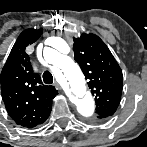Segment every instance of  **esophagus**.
I'll use <instances>...</instances> for the list:
<instances>
[{
    "label": "esophagus",
    "instance_id": "34e87169",
    "mask_svg": "<svg viewBox=\"0 0 147 147\" xmlns=\"http://www.w3.org/2000/svg\"><path fill=\"white\" fill-rule=\"evenodd\" d=\"M54 85L58 90H61V85L57 81L55 82Z\"/></svg>",
    "mask_w": 147,
    "mask_h": 147
}]
</instances>
